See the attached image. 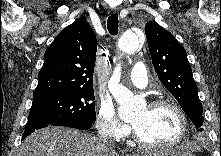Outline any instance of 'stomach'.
Wrapping results in <instances>:
<instances>
[{"label":"stomach","instance_id":"0dacf381","mask_svg":"<svg viewBox=\"0 0 221 156\" xmlns=\"http://www.w3.org/2000/svg\"><path fill=\"white\" fill-rule=\"evenodd\" d=\"M158 156H195L191 150H187L185 146L162 150Z\"/></svg>","mask_w":221,"mask_h":156}]
</instances>
